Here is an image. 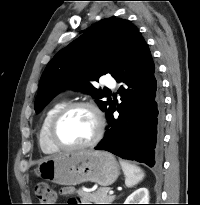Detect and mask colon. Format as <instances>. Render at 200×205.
<instances>
[{
  "label": "colon",
  "instance_id": "obj_1",
  "mask_svg": "<svg viewBox=\"0 0 200 205\" xmlns=\"http://www.w3.org/2000/svg\"><path fill=\"white\" fill-rule=\"evenodd\" d=\"M35 194L40 204L38 205H56V192L45 182L37 183L35 186Z\"/></svg>",
  "mask_w": 200,
  "mask_h": 205
}]
</instances>
